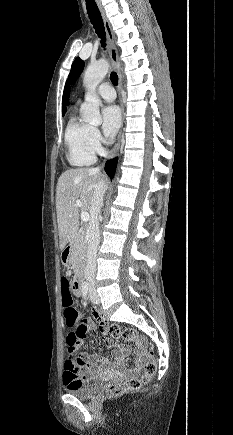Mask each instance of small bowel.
<instances>
[{
    "label": "small bowel",
    "mask_w": 233,
    "mask_h": 435,
    "mask_svg": "<svg viewBox=\"0 0 233 435\" xmlns=\"http://www.w3.org/2000/svg\"><path fill=\"white\" fill-rule=\"evenodd\" d=\"M59 293L62 299L71 293L77 295L75 284L71 283L69 280L67 283H64V281L61 279ZM93 317L99 321L101 341L111 350V355L114 359L117 361L121 360L124 356V350L118 347L113 338L109 336V325L105 320H103L102 313L98 310H94ZM95 327L96 324L94 321L90 319L79 318L71 326V331L67 335V340H73L76 348H78L82 343V338ZM145 351L146 348L142 345L141 340H135V360L134 366L128 370L130 374L138 375L142 372L144 367L143 355L145 354ZM79 358L81 363H77L76 361L70 359L68 355L65 357L62 368V383L67 389H74L82 384L92 382L98 374H108L112 371H123V368L120 364L113 366L110 359L106 356L81 353Z\"/></svg>",
    "instance_id": "obj_1"
}]
</instances>
